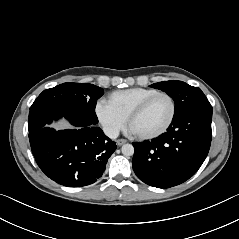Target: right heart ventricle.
Listing matches in <instances>:
<instances>
[{
    "mask_svg": "<svg viewBox=\"0 0 239 239\" xmlns=\"http://www.w3.org/2000/svg\"><path fill=\"white\" fill-rule=\"evenodd\" d=\"M156 92H158V90L143 87L117 90L107 96L105 103L127 118L128 114L138 103Z\"/></svg>",
    "mask_w": 239,
    "mask_h": 239,
    "instance_id": "1",
    "label": "right heart ventricle"
}]
</instances>
